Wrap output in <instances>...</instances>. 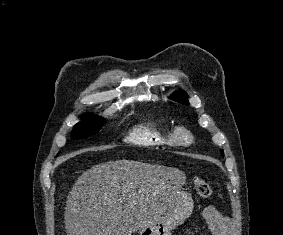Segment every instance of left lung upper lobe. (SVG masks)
Masks as SVG:
<instances>
[{"mask_svg":"<svg viewBox=\"0 0 283 235\" xmlns=\"http://www.w3.org/2000/svg\"><path fill=\"white\" fill-rule=\"evenodd\" d=\"M169 99L179 102L181 104H188L187 94L183 90L175 91L170 95ZM221 153L222 155H224L223 150H221Z\"/></svg>","mask_w":283,"mask_h":235,"instance_id":"1","label":"left lung upper lobe"}]
</instances>
